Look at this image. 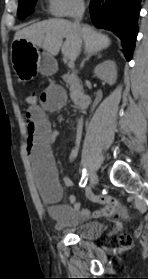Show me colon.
<instances>
[{
  "instance_id": "colon-1",
  "label": "colon",
  "mask_w": 148,
  "mask_h": 279,
  "mask_svg": "<svg viewBox=\"0 0 148 279\" xmlns=\"http://www.w3.org/2000/svg\"><path fill=\"white\" fill-rule=\"evenodd\" d=\"M38 101V97L37 95L34 93V92H29L26 94L25 96V102L28 106H32V105H35ZM123 209L120 205H118L116 208H115V211L114 213H119L121 212ZM120 244H121V247L122 248H127L131 245V240L129 237H126V236H123L121 239H120Z\"/></svg>"
}]
</instances>
